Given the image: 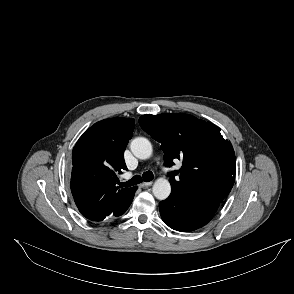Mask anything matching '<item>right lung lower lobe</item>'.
I'll return each mask as SVG.
<instances>
[{
	"label": "right lung lower lobe",
	"mask_w": 294,
	"mask_h": 294,
	"mask_svg": "<svg viewBox=\"0 0 294 294\" xmlns=\"http://www.w3.org/2000/svg\"><path fill=\"white\" fill-rule=\"evenodd\" d=\"M137 187H134L133 190L131 191L130 195L128 196L127 200L120 206L118 207L117 210H115L112 214L110 215H107V216H110V217H118L122 214H124L126 212V210L129 208L132 200H133V197H134V194H135V191H136ZM107 216H104L98 220H93V221H101V220H104Z\"/></svg>",
	"instance_id": "right-lung-lower-lobe-1"
}]
</instances>
